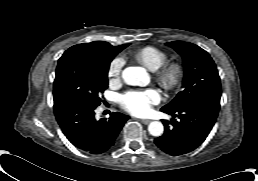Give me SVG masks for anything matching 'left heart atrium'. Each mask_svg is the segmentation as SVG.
<instances>
[{"instance_id": "obj_1", "label": "left heart atrium", "mask_w": 258, "mask_h": 181, "mask_svg": "<svg viewBox=\"0 0 258 181\" xmlns=\"http://www.w3.org/2000/svg\"><path fill=\"white\" fill-rule=\"evenodd\" d=\"M160 101L159 94L154 89L131 91L121 97L122 106L130 113L143 115L150 111L151 106Z\"/></svg>"}]
</instances>
